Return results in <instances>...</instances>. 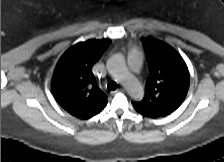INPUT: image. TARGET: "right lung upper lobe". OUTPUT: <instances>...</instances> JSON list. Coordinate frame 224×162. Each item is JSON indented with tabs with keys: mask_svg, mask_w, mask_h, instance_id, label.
I'll use <instances>...</instances> for the list:
<instances>
[{
	"mask_svg": "<svg viewBox=\"0 0 224 162\" xmlns=\"http://www.w3.org/2000/svg\"><path fill=\"white\" fill-rule=\"evenodd\" d=\"M108 39H90L70 47L59 59L52 79V92L67 112L89 119L107 105V96L98 88L92 66L100 59Z\"/></svg>",
	"mask_w": 224,
	"mask_h": 162,
	"instance_id": "1",
	"label": "right lung upper lobe"
}]
</instances>
